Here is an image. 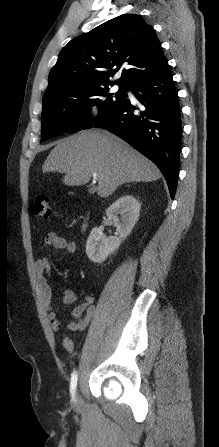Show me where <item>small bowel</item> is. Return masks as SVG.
<instances>
[{
  "label": "small bowel",
  "instance_id": "1",
  "mask_svg": "<svg viewBox=\"0 0 219 447\" xmlns=\"http://www.w3.org/2000/svg\"><path fill=\"white\" fill-rule=\"evenodd\" d=\"M44 244L58 250H65L70 254H76L77 247L74 242L68 241L63 236L56 233H48L44 236ZM36 276L40 286L42 301L47 308V316L54 331L62 329L63 324L59 319L58 312L52 305V288L49 284L51 275V265L48 258H40L35 264ZM61 300L64 305H71L76 300V294L71 289L61 291ZM95 312L94 297L87 295L83 301L75 306L70 316L73 321L67 323L65 327L70 331H84L88 328ZM63 345L69 350H73V342L68 337L63 339Z\"/></svg>",
  "mask_w": 219,
  "mask_h": 447
}]
</instances>
